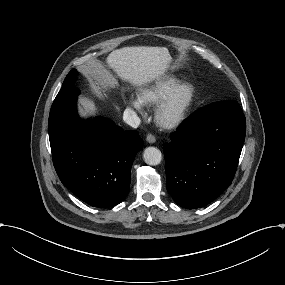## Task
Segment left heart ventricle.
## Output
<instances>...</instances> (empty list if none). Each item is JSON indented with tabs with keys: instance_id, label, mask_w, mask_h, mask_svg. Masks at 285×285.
Listing matches in <instances>:
<instances>
[{
	"instance_id": "1",
	"label": "left heart ventricle",
	"mask_w": 285,
	"mask_h": 285,
	"mask_svg": "<svg viewBox=\"0 0 285 285\" xmlns=\"http://www.w3.org/2000/svg\"><path fill=\"white\" fill-rule=\"evenodd\" d=\"M188 96H189L188 90L181 92L175 99L174 104L169 110V112L166 114L165 119H171L175 117L186 104Z\"/></svg>"
}]
</instances>
